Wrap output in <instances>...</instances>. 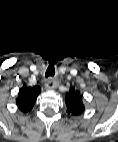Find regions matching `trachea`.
<instances>
[{
	"mask_svg": "<svg viewBox=\"0 0 118 142\" xmlns=\"http://www.w3.org/2000/svg\"><path fill=\"white\" fill-rule=\"evenodd\" d=\"M54 75H55V68L53 64H50L46 70L45 77L50 78L53 77Z\"/></svg>",
	"mask_w": 118,
	"mask_h": 142,
	"instance_id": "3493384b",
	"label": "trachea"
}]
</instances>
